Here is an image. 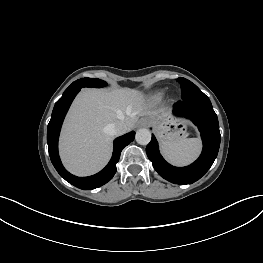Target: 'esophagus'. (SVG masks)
Returning a JSON list of instances; mask_svg holds the SVG:
<instances>
[{
  "label": "esophagus",
  "mask_w": 263,
  "mask_h": 263,
  "mask_svg": "<svg viewBox=\"0 0 263 263\" xmlns=\"http://www.w3.org/2000/svg\"><path fill=\"white\" fill-rule=\"evenodd\" d=\"M150 125V121L148 119H142L139 122L140 127H148Z\"/></svg>",
  "instance_id": "esophagus-1"
}]
</instances>
